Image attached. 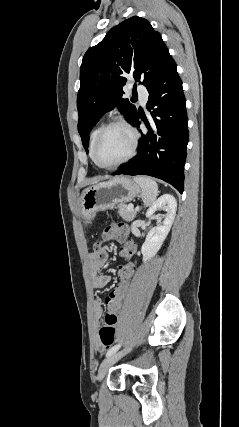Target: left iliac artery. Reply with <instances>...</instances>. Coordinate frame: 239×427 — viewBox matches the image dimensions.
Wrapping results in <instances>:
<instances>
[{"instance_id":"left-iliac-artery-1","label":"left iliac artery","mask_w":239,"mask_h":427,"mask_svg":"<svg viewBox=\"0 0 239 427\" xmlns=\"http://www.w3.org/2000/svg\"><path fill=\"white\" fill-rule=\"evenodd\" d=\"M120 347H121L120 343L117 344V345H114L111 349H109V351L107 352L106 356L108 357V356L114 354L115 352H117L119 350Z\"/></svg>"}]
</instances>
